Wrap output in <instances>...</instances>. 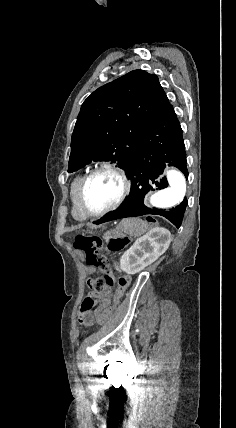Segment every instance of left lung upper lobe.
Here are the masks:
<instances>
[{
    "instance_id": "5c2ea615",
    "label": "left lung upper lobe",
    "mask_w": 236,
    "mask_h": 428,
    "mask_svg": "<svg viewBox=\"0 0 236 428\" xmlns=\"http://www.w3.org/2000/svg\"><path fill=\"white\" fill-rule=\"evenodd\" d=\"M169 106L158 77L143 70L99 87L82 104L68 172L93 160L117 162L125 170L144 131Z\"/></svg>"
}]
</instances>
